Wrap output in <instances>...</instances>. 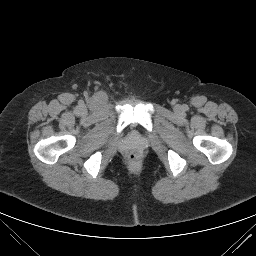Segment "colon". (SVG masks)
Segmentation results:
<instances>
[{
	"label": "colon",
	"mask_w": 256,
	"mask_h": 256,
	"mask_svg": "<svg viewBox=\"0 0 256 256\" xmlns=\"http://www.w3.org/2000/svg\"><path fill=\"white\" fill-rule=\"evenodd\" d=\"M129 160L133 163L137 162L138 161V156L134 153L130 154L129 155Z\"/></svg>",
	"instance_id": "obj_1"
}]
</instances>
